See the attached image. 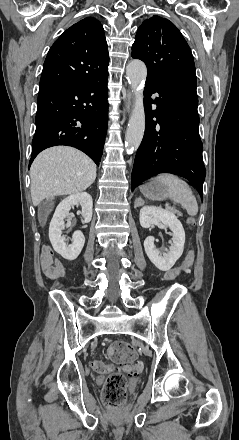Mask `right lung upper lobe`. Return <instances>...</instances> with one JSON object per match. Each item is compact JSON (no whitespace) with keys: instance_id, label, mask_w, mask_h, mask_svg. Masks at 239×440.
<instances>
[{"instance_id":"1","label":"right lung upper lobe","mask_w":239,"mask_h":440,"mask_svg":"<svg viewBox=\"0 0 239 440\" xmlns=\"http://www.w3.org/2000/svg\"><path fill=\"white\" fill-rule=\"evenodd\" d=\"M109 55L101 23L87 17L67 29L44 62L40 87L89 81L108 73Z\"/></svg>"}]
</instances>
